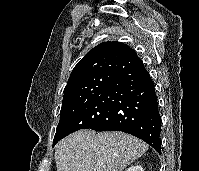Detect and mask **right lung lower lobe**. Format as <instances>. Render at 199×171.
Listing matches in <instances>:
<instances>
[{
  "instance_id": "1",
  "label": "right lung lower lobe",
  "mask_w": 199,
  "mask_h": 171,
  "mask_svg": "<svg viewBox=\"0 0 199 171\" xmlns=\"http://www.w3.org/2000/svg\"><path fill=\"white\" fill-rule=\"evenodd\" d=\"M80 129L126 132L161 152V117L154 84L143 62L121 71L100 88L71 120L61 139Z\"/></svg>"
}]
</instances>
